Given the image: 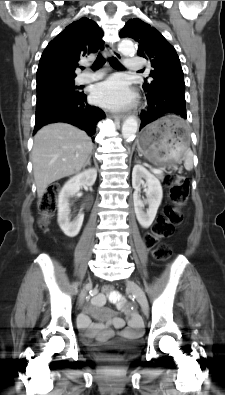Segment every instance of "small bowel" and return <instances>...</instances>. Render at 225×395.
<instances>
[{"label":"small bowel","mask_w":225,"mask_h":395,"mask_svg":"<svg viewBox=\"0 0 225 395\" xmlns=\"http://www.w3.org/2000/svg\"><path fill=\"white\" fill-rule=\"evenodd\" d=\"M106 296L116 304L117 308L121 310L125 317L112 316L106 322L92 323L88 314H83L79 318V326L86 337H99L106 339L112 336L113 332L109 326L121 330L123 336H133L142 331V322L138 314L130 309L126 302L113 290L111 294H98L93 298V307L101 308L106 300Z\"/></svg>","instance_id":"1"}]
</instances>
